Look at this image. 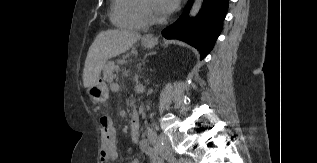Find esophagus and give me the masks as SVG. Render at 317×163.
<instances>
[{"mask_svg": "<svg viewBox=\"0 0 317 163\" xmlns=\"http://www.w3.org/2000/svg\"><path fill=\"white\" fill-rule=\"evenodd\" d=\"M144 41H149V42H153L156 40L155 35L154 34H147L143 37Z\"/></svg>", "mask_w": 317, "mask_h": 163, "instance_id": "34e87169", "label": "esophagus"}]
</instances>
